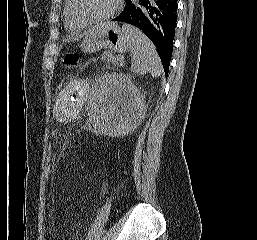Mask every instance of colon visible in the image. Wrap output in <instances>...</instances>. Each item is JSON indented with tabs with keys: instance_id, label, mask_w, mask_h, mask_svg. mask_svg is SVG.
Returning <instances> with one entry per match:
<instances>
[{
	"instance_id": "1",
	"label": "colon",
	"mask_w": 257,
	"mask_h": 240,
	"mask_svg": "<svg viewBox=\"0 0 257 240\" xmlns=\"http://www.w3.org/2000/svg\"><path fill=\"white\" fill-rule=\"evenodd\" d=\"M64 66L67 69H72L77 66L79 62V55L76 52H67L63 59ZM55 168V154L52 148L49 146L47 155H46V163H45V176L49 178Z\"/></svg>"
}]
</instances>
